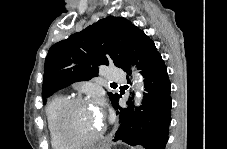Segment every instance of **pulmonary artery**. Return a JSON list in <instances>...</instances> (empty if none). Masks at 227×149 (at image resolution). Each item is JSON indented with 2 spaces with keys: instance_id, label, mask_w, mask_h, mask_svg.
Listing matches in <instances>:
<instances>
[{
  "instance_id": "e3ab8cb5",
  "label": "pulmonary artery",
  "mask_w": 227,
  "mask_h": 149,
  "mask_svg": "<svg viewBox=\"0 0 227 149\" xmlns=\"http://www.w3.org/2000/svg\"><path fill=\"white\" fill-rule=\"evenodd\" d=\"M106 76L107 79L111 82H118L121 80H124L126 77V74L123 69L109 66L106 68Z\"/></svg>"
}]
</instances>
